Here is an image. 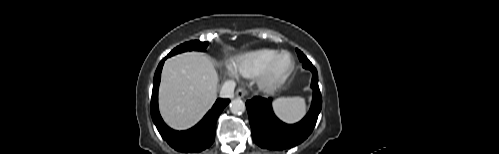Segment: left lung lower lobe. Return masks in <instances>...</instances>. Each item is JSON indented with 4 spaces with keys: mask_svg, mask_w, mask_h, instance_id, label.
<instances>
[{
    "mask_svg": "<svg viewBox=\"0 0 499 154\" xmlns=\"http://www.w3.org/2000/svg\"><path fill=\"white\" fill-rule=\"evenodd\" d=\"M298 50V49H296ZM312 72L313 100L307 115L296 124H285L273 113L271 98L254 97L246 102L254 142L262 148L284 150L303 142L314 129L322 107L315 67L304 64Z\"/></svg>",
    "mask_w": 499,
    "mask_h": 154,
    "instance_id": "1",
    "label": "left lung lower lobe"
}]
</instances>
